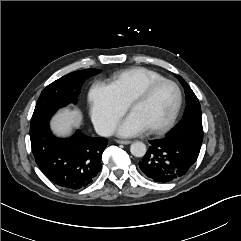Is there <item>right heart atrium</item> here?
<instances>
[{"label": "right heart atrium", "instance_id": "right-heart-atrium-1", "mask_svg": "<svg viewBox=\"0 0 241 241\" xmlns=\"http://www.w3.org/2000/svg\"><path fill=\"white\" fill-rule=\"evenodd\" d=\"M89 102L92 120L103 135H109L114 130L128 108L113 86L101 81L91 86Z\"/></svg>", "mask_w": 241, "mask_h": 241}]
</instances>
